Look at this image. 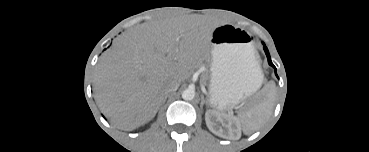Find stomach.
Returning a JSON list of instances; mask_svg holds the SVG:
<instances>
[{"label": "stomach", "mask_w": 369, "mask_h": 152, "mask_svg": "<svg viewBox=\"0 0 369 152\" xmlns=\"http://www.w3.org/2000/svg\"><path fill=\"white\" fill-rule=\"evenodd\" d=\"M210 104L231 109L261 85L262 73L255 61L252 37L232 24L218 25L211 34Z\"/></svg>", "instance_id": "1"}]
</instances>
